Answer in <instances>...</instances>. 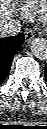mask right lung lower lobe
Returning a JSON list of instances; mask_svg holds the SVG:
<instances>
[{"mask_svg": "<svg viewBox=\"0 0 47 129\" xmlns=\"http://www.w3.org/2000/svg\"><path fill=\"white\" fill-rule=\"evenodd\" d=\"M24 34L0 39V84L7 77L14 55L23 44Z\"/></svg>", "mask_w": 47, "mask_h": 129, "instance_id": "obj_1", "label": "right lung lower lobe"}]
</instances>
